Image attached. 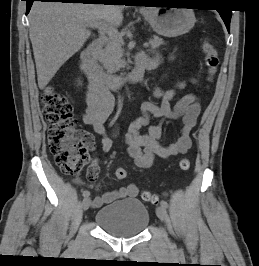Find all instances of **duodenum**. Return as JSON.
I'll use <instances>...</instances> for the list:
<instances>
[{
	"mask_svg": "<svg viewBox=\"0 0 259 266\" xmlns=\"http://www.w3.org/2000/svg\"><path fill=\"white\" fill-rule=\"evenodd\" d=\"M105 42L106 36L101 34L82 53L83 68L87 72L90 82L103 89H118L128 83H139L147 69V61L138 56L135 68L131 72L117 75L106 73L98 62L99 53Z\"/></svg>",
	"mask_w": 259,
	"mask_h": 266,
	"instance_id": "1",
	"label": "duodenum"
}]
</instances>
